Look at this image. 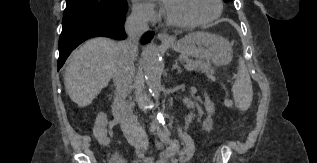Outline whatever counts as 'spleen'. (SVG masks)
<instances>
[{"instance_id":"1","label":"spleen","mask_w":317,"mask_h":163,"mask_svg":"<svg viewBox=\"0 0 317 163\" xmlns=\"http://www.w3.org/2000/svg\"><path fill=\"white\" fill-rule=\"evenodd\" d=\"M235 104L241 110H246L252 100L251 79L245 65V61L239 58L237 77L232 87Z\"/></svg>"}]
</instances>
